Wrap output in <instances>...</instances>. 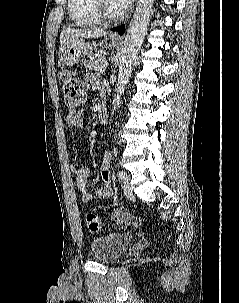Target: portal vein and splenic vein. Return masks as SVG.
<instances>
[{"label": "portal vein and splenic vein", "mask_w": 239, "mask_h": 303, "mask_svg": "<svg viewBox=\"0 0 239 303\" xmlns=\"http://www.w3.org/2000/svg\"><path fill=\"white\" fill-rule=\"evenodd\" d=\"M101 64H102L103 67H107V66H108V62H107L106 60H105V61H102Z\"/></svg>", "instance_id": "18ae733b"}]
</instances>
